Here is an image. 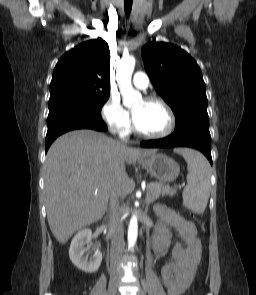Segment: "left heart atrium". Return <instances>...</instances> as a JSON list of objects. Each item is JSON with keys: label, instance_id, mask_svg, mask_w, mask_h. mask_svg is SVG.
Wrapping results in <instances>:
<instances>
[{"label": "left heart atrium", "instance_id": "39dd6f15", "mask_svg": "<svg viewBox=\"0 0 256 295\" xmlns=\"http://www.w3.org/2000/svg\"><path fill=\"white\" fill-rule=\"evenodd\" d=\"M133 118H134V121H135V118H136V115L135 114H133Z\"/></svg>", "mask_w": 256, "mask_h": 295}]
</instances>
